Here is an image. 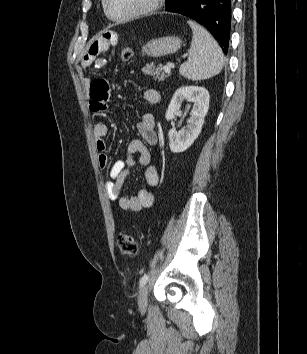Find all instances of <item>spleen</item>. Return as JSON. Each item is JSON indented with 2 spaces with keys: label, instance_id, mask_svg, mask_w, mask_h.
<instances>
[{
  "label": "spleen",
  "instance_id": "1",
  "mask_svg": "<svg viewBox=\"0 0 307 354\" xmlns=\"http://www.w3.org/2000/svg\"><path fill=\"white\" fill-rule=\"evenodd\" d=\"M193 38L189 58L179 69L180 74L190 80L208 79L220 73L223 53L216 40L203 27L188 21Z\"/></svg>",
  "mask_w": 307,
  "mask_h": 354
}]
</instances>
